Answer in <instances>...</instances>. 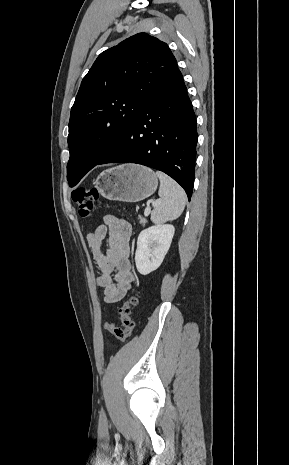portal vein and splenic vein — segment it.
Masks as SVG:
<instances>
[{
    "mask_svg": "<svg viewBox=\"0 0 289 465\" xmlns=\"http://www.w3.org/2000/svg\"><path fill=\"white\" fill-rule=\"evenodd\" d=\"M159 201H155V202H152V206H156L158 204ZM150 212V207L147 206L146 209H145V213H149Z\"/></svg>",
    "mask_w": 289,
    "mask_h": 465,
    "instance_id": "18ae733b",
    "label": "portal vein and splenic vein"
}]
</instances>
